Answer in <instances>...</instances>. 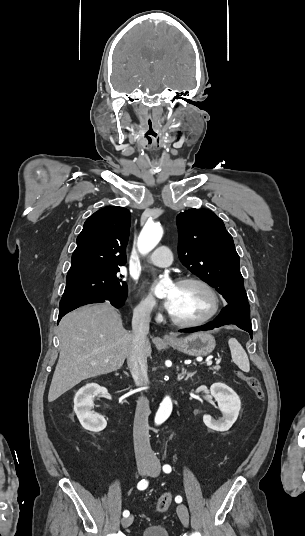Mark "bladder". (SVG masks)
I'll list each match as a JSON object with an SVG mask.
<instances>
[{
  "mask_svg": "<svg viewBox=\"0 0 305 536\" xmlns=\"http://www.w3.org/2000/svg\"><path fill=\"white\" fill-rule=\"evenodd\" d=\"M137 536H170L167 527L162 525H150L143 528L142 533Z\"/></svg>",
  "mask_w": 305,
  "mask_h": 536,
  "instance_id": "31cf9c89",
  "label": "bladder"
}]
</instances>
